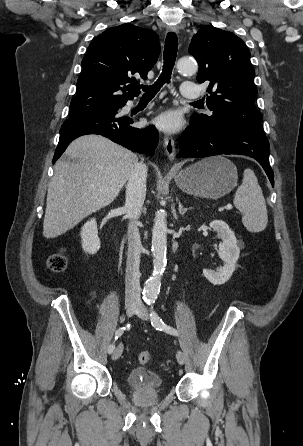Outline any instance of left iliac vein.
Segmentation results:
<instances>
[{"label": "left iliac vein", "instance_id": "left-iliac-vein-1", "mask_svg": "<svg viewBox=\"0 0 303 446\" xmlns=\"http://www.w3.org/2000/svg\"><path fill=\"white\" fill-rule=\"evenodd\" d=\"M135 313L137 316L144 320H147L149 318L148 310L143 304L138 305ZM176 359L180 365H183L186 359L185 354L181 350H178L176 353Z\"/></svg>", "mask_w": 303, "mask_h": 446}]
</instances>
